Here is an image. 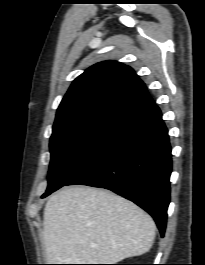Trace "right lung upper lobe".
Returning <instances> with one entry per match:
<instances>
[{
	"label": "right lung upper lobe",
	"instance_id": "obj_1",
	"mask_svg": "<svg viewBox=\"0 0 205 265\" xmlns=\"http://www.w3.org/2000/svg\"><path fill=\"white\" fill-rule=\"evenodd\" d=\"M155 105L134 70L103 61L78 76L62 99L53 133L96 123L126 125Z\"/></svg>",
	"mask_w": 205,
	"mask_h": 265
}]
</instances>
